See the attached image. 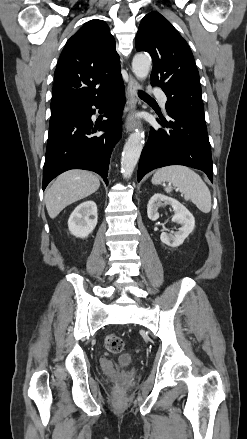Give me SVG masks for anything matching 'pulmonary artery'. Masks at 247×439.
<instances>
[{"mask_svg":"<svg viewBox=\"0 0 247 439\" xmlns=\"http://www.w3.org/2000/svg\"><path fill=\"white\" fill-rule=\"evenodd\" d=\"M153 92H154V94L159 98L161 104H162L163 106H165V104H166V102H167V97H166V95L164 94V92H163L162 90L158 89V88L154 89Z\"/></svg>","mask_w":247,"mask_h":439,"instance_id":"obj_1","label":"pulmonary artery"}]
</instances>
